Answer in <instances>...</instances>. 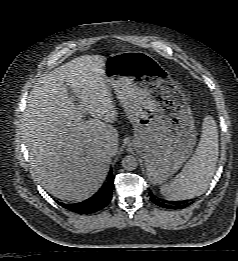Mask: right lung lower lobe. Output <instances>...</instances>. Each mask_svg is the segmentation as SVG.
<instances>
[{"label":"right lung lower lobe","mask_w":238,"mask_h":261,"mask_svg":"<svg viewBox=\"0 0 238 261\" xmlns=\"http://www.w3.org/2000/svg\"><path fill=\"white\" fill-rule=\"evenodd\" d=\"M113 188H114L113 175H112V171L110 170L106 182L103 184L100 190L89 199L74 204H64L58 201L57 202L62 207L70 211H73L75 213L91 214L103 209L105 206L108 205V203L112 199Z\"/></svg>","instance_id":"98d812e1"}]
</instances>
